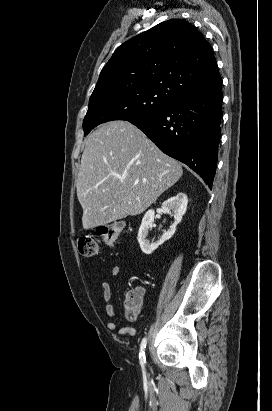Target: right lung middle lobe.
I'll list each match as a JSON object with an SVG mask.
<instances>
[{"label": "right lung middle lobe", "instance_id": "dd1d6c3e", "mask_svg": "<svg viewBox=\"0 0 272 411\" xmlns=\"http://www.w3.org/2000/svg\"><path fill=\"white\" fill-rule=\"evenodd\" d=\"M176 100L173 93L151 87H129L92 93L84 118V135L97 125L112 121H133L154 115Z\"/></svg>", "mask_w": 272, "mask_h": 411}]
</instances>
